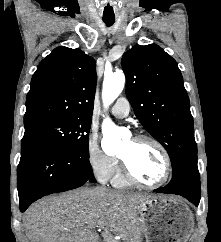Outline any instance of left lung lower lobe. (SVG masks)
I'll list each match as a JSON object with an SVG mask.
<instances>
[{"mask_svg": "<svg viewBox=\"0 0 221 242\" xmlns=\"http://www.w3.org/2000/svg\"><path fill=\"white\" fill-rule=\"evenodd\" d=\"M154 191L157 193L181 195L197 206L200 202L201 194L197 163L187 164L172 177L168 185Z\"/></svg>", "mask_w": 221, "mask_h": 242, "instance_id": "0a47b994", "label": "left lung lower lobe"}]
</instances>
